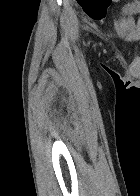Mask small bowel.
Masks as SVG:
<instances>
[{
    "label": "small bowel",
    "mask_w": 140,
    "mask_h": 196,
    "mask_svg": "<svg viewBox=\"0 0 140 196\" xmlns=\"http://www.w3.org/2000/svg\"><path fill=\"white\" fill-rule=\"evenodd\" d=\"M112 1H115V2H117V1H119V0H109V2H112Z\"/></svg>",
    "instance_id": "1"
}]
</instances>
